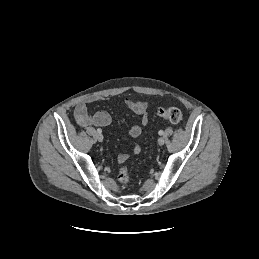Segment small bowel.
<instances>
[{
  "label": "small bowel",
  "mask_w": 259,
  "mask_h": 259,
  "mask_svg": "<svg viewBox=\"0 0 259 259\" xmlns=\"http://www.w3.org/2000/svg\"><path fill=\"white\" fill-rule=\"evenodd\" d=\"M106 98L98 96H89L81 100L75 107V117L77 120L86 126H100L106 127L111 122L110 115L105 111H98L94 115L88 113V104L104 100ZM124 105L128 107L133 113L140 116L141 123L146 125L148 123V114H147V104L144 101H136L126 98L123 101ZM141 134V127L139 125H134L129 130V135L131 137H138ZM141 150L139 145H135L133 148L134 153H139ZM128 159L127 154H121L117 157L119 163H123Z\"/></svg>",
  "instance_id": "small-bowel-1"
}]
</instances>
